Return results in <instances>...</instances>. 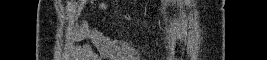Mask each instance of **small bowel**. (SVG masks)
Masks as SVG:
<instances>
[{"label":"small bowel","instance_id":"1","mask_svg":"<svg viewBox=\"0 0 267 60\" xmlns=\"http://www.w3.org/2000/svg\"><path fill=\"white\" fill-rule=\"evenodd\" d=\"M70 39L79 40V39H88L93 44H114L118 42L112 38L98 32L88 21H83L79 28L75 29L71 35Z\"/></svg>","mask_w":267,"mask_h":60}]
</instances>
